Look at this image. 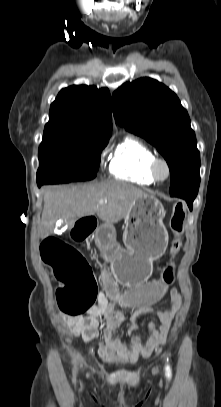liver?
I'll use <instances>...</instances> for the list:
<instances>
[{"label":"liver","instance_id":"6515ba94","mask_svg":"<svg viewBox=\"0 0 221 407\" xmlns=\"http://www.w3.org/2000/svg\"><path fill=\"white\" fill-rule=\"evenodd\" d=\"M146 195L142 190L119 181H104L81 186H50L44 192V208L39 235L52 234L58 220L73 224L84 216L97 214L107 224L127 216L134 201ZM100 200L106 203L99 204Z\"/></svg>","mask_w":221,"mask_h":407}]
</instances>
